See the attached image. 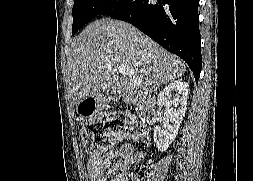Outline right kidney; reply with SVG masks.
<instances>
[{"label":"right kidney","mask_w":253,"mask_h":181,"mask_svg":"<svg viewBox=\"0 0 253 181\" xmlns=\"http://www.w3.org/2000/svg\"><path fill=\"white\" fill-rule=\"evenodd\" d=\"M188 95V84L174 81L166 86L158 95L157 103L165 106L164 128L155 126L154 142L159 151L165 152L176 138L181 121L185 115Z\"/></svg>","instance_id":"obj_1"}]
</instances>
